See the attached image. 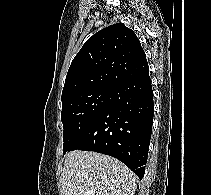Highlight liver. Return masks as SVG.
I'll return each instance as SVG.
<instances>
[{
  "mask_svg": "<svg viewBox=\"0 0 211 195\" xmlns=\"http://www.w3.org/2000/svg\"><path fill=\"white\" fill-rule=\"evenodd\" d=\"M137 176L105 154L76 150L67 153L61 195H134Z\"/></svg>",
  "mask_w": 211,
  "mask_h": 195,
  "instance_id": "obj_1",
  "label": "liver"
}]
</instances>
